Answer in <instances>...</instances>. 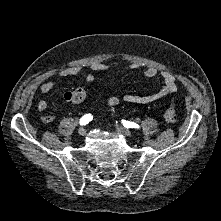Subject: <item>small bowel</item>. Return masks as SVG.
Returning <instances> with one entry per match:
<instances>
[{
    "label": "small bowel",
    "instance_id": "small-bowel-1",
    "mask_svg": "<svg viewBox=\"0 0 221 221\" xmlns=\"http://www.w3.org/2000/svg\"><path fill=\"white\" fill-rule=\"evenodd\" d=\"M138 67L139 66L137 64H131L129 66L130 69H137ZM90 69L92 71L108 72L113 69V65L95 61L90 65ZM81 70H82L81 66L78 65L67 66L59 70L58 75L60 77H76L80 74ZM143 75L147 78L160 77V79L162 80V87L154 91L153 93L145 96L135 95V94H125L122 97L112 96L107 100V106L109 107L117 106L121 101L131 104H149L156 100L162 99L164 97L176 93L177 91L176 77L173 74L166 71L159 72L158 69L150 67L144 70ZM94 79L95 77L93 74H88L86 76V81L88 83H92ZM55 86L56 83L54 80H47L40 85V91L42 93H49L52 90H54ZM72 92L73 91L66 92L64 94L63 97L66 101L70 102L68 100V96ZM37 107L40 111H44L48 107V103L46 100L41 99L38 101ZM41 120L45 123L53 122L55 120V116L46 114L41 117Z\"/></svg>",
    "mask_w": 221,
    "mask_h": 221
}]
</instances>
